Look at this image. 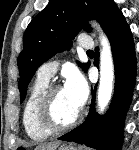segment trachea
Listing matches in <instances>:
<instances>
[{
  "mask_svg": "<svg viewBox=\"0 0 139 150\" xmlns=\"http://www.w3.org/2000/svg\"><path fill=\"white\" fill-rule=\"evenodd\" d=\"M87 53H93V51L92 50H88Z\"/></svg>",
  "mask_w": 139,
  "mask_h": 150,
  "instance_id": "3493384b",
  "label": "trachea"
}]
</instances>
